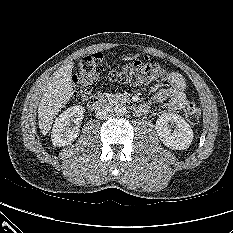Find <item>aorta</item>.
<instances>
[{"instance_id": "762f6f07", "label": "aorta", "mask_w": 233, "mask_h": 233, "mask_svg": "<svg viewBox=\"0 0 233 233\" xmlns=\"http://www.w3.org/2000/svg\"><path fill=\"white\" fill-rule=\"evenodd\" d=\"M116 115L123 116L127 112V108L124 104H117L114 108Z\"/></svg>"}]
</instances>
